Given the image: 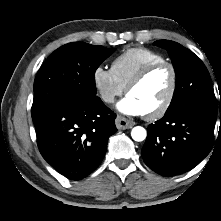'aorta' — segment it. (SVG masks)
I'll use <instances>...</instances> for the list:
<instances>
[{"label": "aorta", "instance_id": "762f6f07", "mask_svg": "<svg viewBox=\"0 0 221 221\" xmlns=\"http://www.w3.org/2000/svg\"><path fill=\"white\" fill-rule=\"evenodd\" d=\"M131 136H132L133 140H135L137 142H140V141H143L146 138L147 132L143 127L136 126L132 129Z\"/></svg>", "mask_w": 221, "mask_h": 221}]
</instances>
